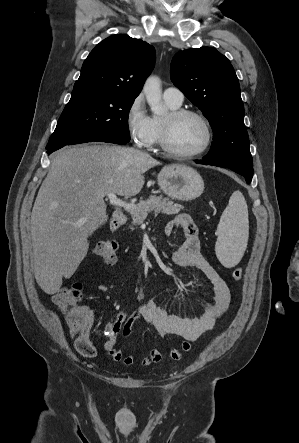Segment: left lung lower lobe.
Wrapping results in <instances>:
<instances>
[{
    "mask_svg": "<svg viewBox=\"0 0 299 443\" xmlns=\"http://www.w3.org/2000/svg\"><path fill=\"white\" fill-rule=\"evenodd\" d=\"M196 162L201 163V164H205V165H212L211 163L207 162L204 159L201 160V161H196ZM214 166H216V165H214ZM226 168H229V169L235 171L236 173L244 176L245 179H246V182L248 184L251 182L252 177H253V169H252V167L239 166V167H226Z\"/></svg>",
    "mask_w": 299,
    "mask_h": 443,
    "instance_id": "left-lung-lower-lobe-1",
    "label": "left lung lower lobe"
}]
</instances>
